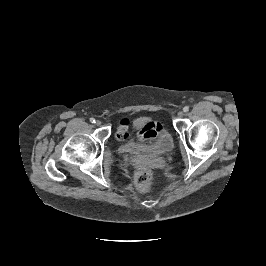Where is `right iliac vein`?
I'll list each match as a JSON object with an SVG mask.
<instances>
[{
	"label": "right iliac vein",
	"instance_id": "obj_1",
	"mask_svg": "<svg viewBox=\"0 0 266 266\" xmlns=\"http://www.w3.org/2000/svg\"><path fill=\"white\" fill-rule=\"evenodd\" d=\"M95 124H96L97 126H100V125H101V121H100V120H97V121L95 122Z\"/></svg>",
	"mask_w": 266,
	"mask_h": 266
}]
</instances>
